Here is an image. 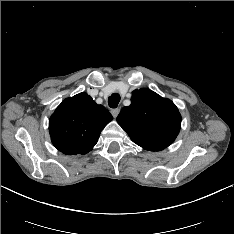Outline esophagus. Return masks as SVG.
<instances>
[{"instance_id": "34e87169", "label": "esophagus", "mask_w": 234, "mask_h": 234, "mask_svg": "<svg viewBox=\"0 0 234 234\" xmlns=\"http://www.w3.org/2000/svg\"><path fill=\"white\" fill-rule=\"evenodd\" d=\"M120 113V109L119 108H116V109H113L111 110V114L114 118H116L118 116V114Z\"/></svg>"}]
</instances>
